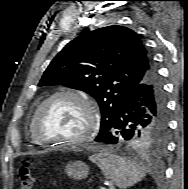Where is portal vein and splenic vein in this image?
<instances>
[{"label": "portal vein and splenic vein", "mask_w": 188, "mask_h": 189, "mask_svg": "<svg viewBox=\"0 0 188 189\" xmlns=\"http://www.w3.org/2000/svg\"><path fill=\"white\" fill-rule=\"evenodd\" d=\"M100 189H105L104 187H101Z\"/></svg>", "instance_id": "1"}]
</instances>
